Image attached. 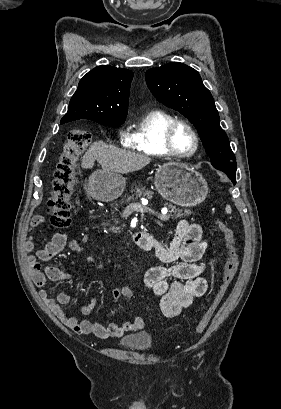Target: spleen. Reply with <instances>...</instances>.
Segmentation results:
<instances>
[{
  "mask_svg": "<svg viewBox=\"0 0 281 409\" xmlns=\"http://www.w3.org/2000/svg\"><path fill=\"white\" fill-rule=\"evenodd\" d=\"M226 213H231V207H230V205H227V207H226Z\"/></svg>",
  "mask_w": 281,
  "mask_h": 409,
  "instance_id": "spleen-1",
  "label": "spleen"
}]
</instances>
